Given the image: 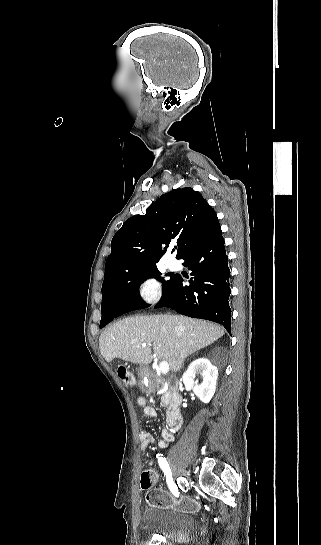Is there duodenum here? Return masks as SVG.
I'll return each instance as SVG.
<instances>
[{"label": "duodenum", "instance_id": "duodenum-1", "mask_svg": "<svg viewBox=\"0 0 321 545\" xmlns=\"http://www.w3.org/2000/svg\"><path fill=\"white\" fill-rule=\"evenodd\" d=\"M181 397L173 393L168 399V413H167V424L170 430H177L181 426L182 416H181Z\"/></svg>", "mask_w": 321, "mask_h": 545}]
</instances>
